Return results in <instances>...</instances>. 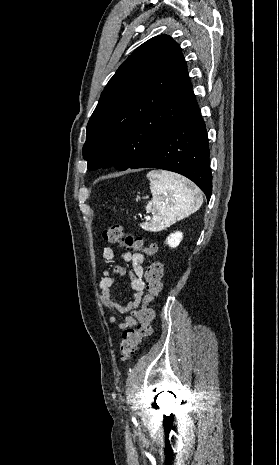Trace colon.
I'll return each instance as SVG.
<instances>
[{
    "label": "colon",
    "instance_id": "5ec220e1",
    "mask_svg": "<svg viewBox=\"0 0 279 465\" xmlns=\"http://www.w3.org/2000/svg\"><path fill=\"white\" fill-rule=\"evenodd\" d=\"M103 238L113 244H119L128 249L142 251L148 256L157 253L155 244L146 245L143 238L132 234H124L120 224H113L103 232ZM163 266L159 261H153L145 271L146 292L139 300L140 308L137 311L138 326L136 329L128 328L122 333L119 354L122 361H128L137 350L144 337L151 334V321L153 310L151 303L162 289Z\"/></svg>",
    "mask_w": 279,
    "mask_h": 465
}]
</instances>
